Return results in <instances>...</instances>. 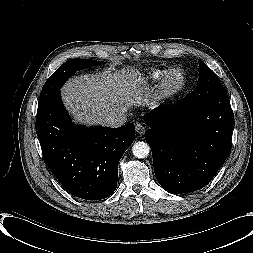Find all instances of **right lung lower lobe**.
Returning a JSON list of instances; mask_svg holds the SVG:
<instances>
[{
    "label": "right lung lower lobe",
    "instance_id": "obj_1",
    "mask_svg": "<svg viewBox=\"0 0 253 253\" xmlns=\"http://www.w3.org/2000/svg\"><path fill=\"white\" fill-rule=\"evenodd\" d=\"M36 133L45 164L66 190L86 200L115 191L118 163L135 138L132 123L119 128L75 125L60 91L38 109Z\"/></svg>",
    "mask_w": 253,
    "mask_h": 253
}]
</instances>
